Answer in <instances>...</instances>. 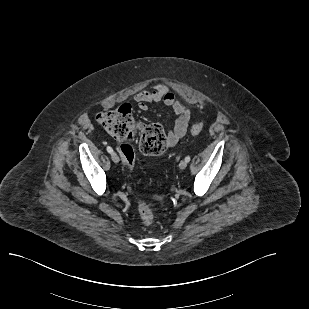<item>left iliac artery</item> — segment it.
I'll list each match as a JSON object with an SVG mask.
<instances>
[{
  "label": "left iliac artery",
  "mask_w": 309,
  "mask_h": 309,
  "mask_svg": "<svg viewBox=\"0 0 309 309\" xmlns=\"http://www.w3.org/2000/svg\"><path fill=\"white\" fill-rule=\"evenodd\" d=\"M190 159H191L190 156H186V157H185V160H186L187 162H189Z\"/></svg>",
  "instance_id": "obj_1"
}]
</instances>
